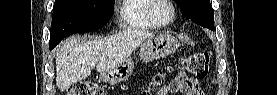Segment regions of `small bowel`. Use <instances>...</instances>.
<instances>
[{
  "instance_id": "1",
  "label": "small bowel",
  "mask_w": 277,
  "mask_h": 95,
  "mask_svg": "<svg viewBox=\"0 0 277 95\" xmlns=\"http://www.w3.org/2000/svg\"><path fill=\"white\" fill-rule=\"evenodd\" d=\"M168 93L179 95H199L205 94V91L197 79L187 77L181 72L168 86L163 87L158 94L165 95Z\"/></svg>"
}]
</instances>
